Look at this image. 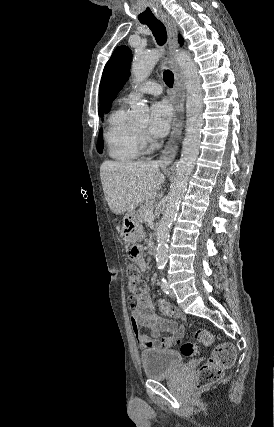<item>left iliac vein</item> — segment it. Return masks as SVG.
I'll use <instances>...</instances> for the list:
<instances>
[{
    "label": "left iliac vein",
    "mask_w": 274,
    "mask_h": 427,
    "mask_svg": "<svg viewBox=\"0 0 274 427\" xmlns=\"http://www.w3.org/2000/svg\"><path fill=\"white\" fill-rule=\"evenodd\" d=\"M170 297H171V298H174V297H175V293H174V291H173L172 289H170Z\"/></svg>",
    "instance_id": "4c4485c4"
}]
</instances>
